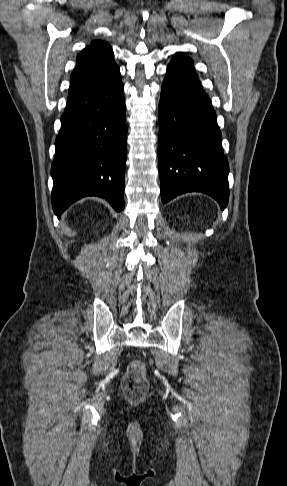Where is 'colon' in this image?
Masks as SVG:
<instances>
[{
  "label": "colon",
  "instance_id": "1",
  "mask_svg": "<svg viewBox=\"0 0 287 486\" xmlns=\"http://www.w3.org/2000/svg\"><path fill=\"white\" fill-rule=\"evenodd\" d=\"M122 388L132 400H139L145 395L148 382L146 365L143 361L135 360L129 365L123 379Z\"/></svg>",
  "mask_w": 287,
  "mask_h": 486
}]
</instances>
